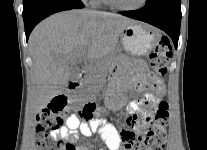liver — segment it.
I'll return each instance as SVG.
<instances>
[{"label": "liver", "mask_w": 207, "mask_h": 150, "mask_svg": "<svg viewBox=\"0 0 207 150\" xmlns=\"http://www.w3.org/2000/svg\"><path fill=\"white\" fill-rule=\"evenodd\" d=\"M135 20L94 10L56 13L39 23L29 38L33 78L28 105L40 113L67 85L70 65L83 54L88 61L103 59L116 48L123 30Z\"/></svg>", "instance_id": "6515ba94"}]
</instances>
